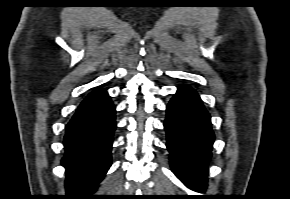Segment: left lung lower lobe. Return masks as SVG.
Instances as JSON below:
<instances>
[{
  "instance_id": "1",
  "label": "left lung lower lobe",
  "mask_w": 290,
  "mask_h": 199,
  "mask_svg": "<svg viewBox=\"0 0 290 199\" xmlns=\"http://www.w3.org/2000/svg\"><path fill=\"white\" fill-rule=\"evenodd\" d=\"M164 127L173 172L187 187L204 191L214 133L210 115L193 88L178 87L167 106Z\"/></svg>"
}]
</instances>
